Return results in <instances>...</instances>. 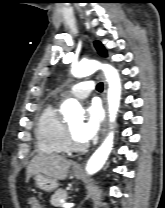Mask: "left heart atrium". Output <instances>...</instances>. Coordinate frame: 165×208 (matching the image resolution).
<instances>
[{
  "mask_svg": "<svg viewBox=\"0 0 165 208\" xmlns=\"http://www.w3.org/2000/svg\"><path fill=\"white\" fill-rule=\"evenodd\" d=\"M102 121V110L97 102H92L86 108L85 119L80 123L77 130L78 138L87 143L98 133Z\"/></svg>",
  "mask_w": 165,
  "mask_h": 208,
  "instance_id": "obj_1",
  "label": "left heart atrium"
}]
</instances>
